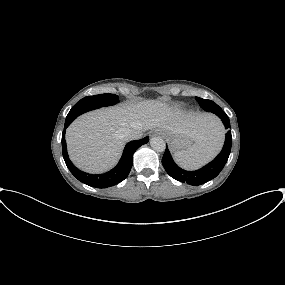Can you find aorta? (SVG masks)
Segmentation results:
<instances>
[{"instance_id": "762f6f07", "label": "aorta", "mask_w": 285, "mask_h": 285, "mask_svg": "<svg viewBox=\"0 0 285 285\" xmlns=\"http://www.w3.org/2000/svg\"><path fill=\"white\" fill-rule=\"evenodd\" d=\"M150 145L152 149H154L157 152H163L165 151V148H166L165 142L161 137L151 138Z\"/></svg>"}]
</instances>
